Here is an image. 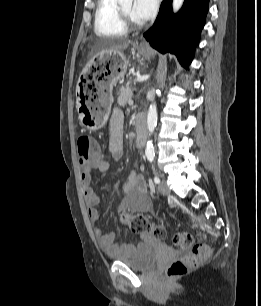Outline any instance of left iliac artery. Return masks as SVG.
Instances as JSON below:
<instances>
[{"label":"left iliac artery","mask_w":261,"mask_h":306,"mask_svg":"<svg viewBox=\"0 0 261 306\" xmlns=\"http://www.w3.org/2000/svg\"><path fill=\"white\" fill-rule=\"evenodd\" d=\"M149 161L152 162V161H153V158H149ZM154 182H155L156 184H159V183H160V179H159L158 176H155V177H154Z\"/></svg>","instance_id":"44dca946"}]
</instances>
